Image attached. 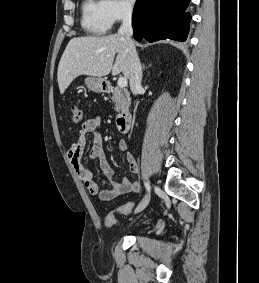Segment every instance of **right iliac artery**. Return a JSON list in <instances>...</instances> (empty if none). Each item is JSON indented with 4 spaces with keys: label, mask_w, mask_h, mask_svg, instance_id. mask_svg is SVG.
I'll use <instances>...</instances> for the list:
<instances>
[{
    "label": "right iliac artery",
    "mask_w": 259,
    "mask_h": 283,
    "mask_svg": "<svg viewBox=\"0 0 259 283\" xmlns=\"http://www.w3.org/2000/svg\"><path fill=\"white\" fill-rule=\"evenodd\" d=\"M144 185H145V188H146L147 192H150V185H149V183L145 182Z\"/></svg>",
    "instance_id": "1"
}]
</instances>
